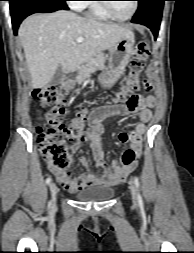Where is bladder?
<instances>
[{
    "label": "bladder",
    "mask_w": 194,
    "mask_h": 253,
    "mask_svg": "<svg viewBox=\"0 0 194 253\" xmlns=\"http://www.w3.org/2000/svg\"><path fill=\"white\" fill-rule=\"evenodd\" d=\"M115 190L108 185H93L81 189L75 194V198L82 202H101L111 199Z\"/></svg>",
    "instance_id": "bladder-1"
}]
</instances>
